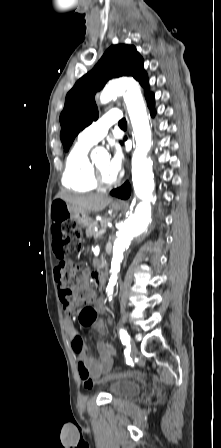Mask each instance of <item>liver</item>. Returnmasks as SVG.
I'll return each mask as SVG.
<instances>
[{
    "label": "liver",
    "instance_id": "liver-1",
    "mask_svg": "<svg viewBox=\"0 0 221 448\" xmlns=\"http://www.w3.org/2000/svg\"><path fill=\"white\" fill-rule=\"evenodd\" d=\"M56 198L62 199L73 208L87 213L102 211L112 202V198L106 194L79 196L61 192Z\"/></svg>",
    "mask_w": 221,
    "mask_h": 448
}]
</instances>
